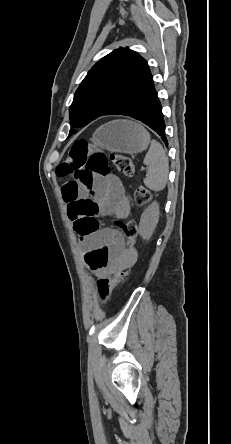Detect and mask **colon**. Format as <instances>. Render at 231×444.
Here are the masks:
<instances>
[{"mask_svg":"<svg viewBox=\"0 0 231 444\" xmlns=\"http://www.w3.org/2000/svg\"><path fill=\"white\" fill-rule=\"evenodd\" d=\"M109 161L115 169L127 176L135 175V166L129 156L112 153L108 157L102 150L93 148L85 140L76 141L67 158L58 164L56 174L59 177L71 176L76 186L91 187L95 177L107 176L110 172ZM151 198V193L145 186H138L134 192V201L138 206L144 205ZM97 206L91 199L75 202L70 208V214L74 221V229L81 237H87L98 230L96 219ZM117 227L121 230L128 251L135 250V242L138 227L134 220L118 222ZM132 265L116 272L112 278H103L97 283V290L102 302H106L117 286L131 273Z\"/></svg>","mask_w":231,"mask_h":444,"instance_id":"colon-1","label":"colon"}]
</instances>
